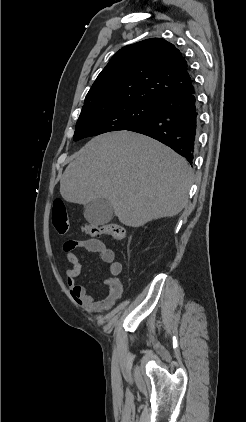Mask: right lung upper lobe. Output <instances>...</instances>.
Returning <instances> with one entry per match:
<instances>
[{"label":"right lung upper lobe","instance_id":"obj_1","mask_svg":"<svg viewBox=\"0 0 246 422\" xmlns=\"http://www.w3.org/2000/svg\"><path fill=\"white\" fill-rule=\"evenodd\" d=\"M192 87L180 50L162 38H151L113 55L90 88L83 107L121 99L157 104Z\"/></svg>","mask_w":246,"mask_h":422}]
</instances>
